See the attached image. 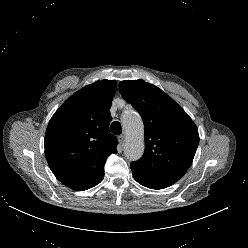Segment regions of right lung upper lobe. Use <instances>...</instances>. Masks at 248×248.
Segmentation results:
<instances>
[{
    "instance_id": "right-lung-upper-lobe-1",
    "label": "right lung upper lobe",
    "mask_w": 248,
    "mask_h": 248,
    "mask_svg": "<svg viewBox=\"0 0 248 248\" xmlns=\"http://www.w3.org/2000/svg\"><path fill=\"white\" fill-rule=\"evenodd\" d=\"M114 80L96 81L68 98L54 113L45 134V155L56 178L75 191L96 186L106 158L117 153L110 134Z\"/></svg>"
}]
</instances>
